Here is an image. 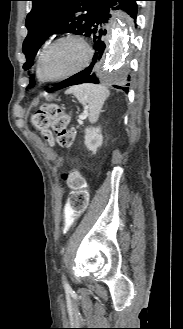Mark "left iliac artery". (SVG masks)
<instances>
[{"mask_svg": "<svg viewBox=\"0 0 183 329\" xmlns=\"http://www.w3.org/2000/svg\"><path fill=\"white\" fill-rule=\"evenodd\" d=\"M63 285L66 291H71V287L68 283V281L66 280L65 276L63 275Z\"/></svg>", "mask_w": 183, "mask_h": 329, "instance_id": "obj_1", "label": "left iliac artery"}]
</instances>
